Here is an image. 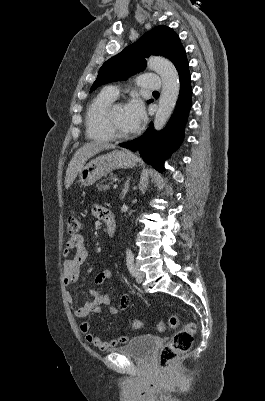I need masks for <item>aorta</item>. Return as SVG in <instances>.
Segmentation results:
<instances>
[{
  "label": "aorta",
  "mask_w": 265,
  "mask_h": 401,
  "mask_svg": "<svg viewBox=\"0 0 265 401\" xmlns=\"http://www.w3.org/2000/svg\"><path fill=\"white\" fill-rule=\"evenodd\" d=\"M148 66L155 70L162 78V90L159 98L157 112L154 118L156 130H161L165 126L180 90L179 74L171 60L162 56H150ZM126 255H132V251L127 249Z\"/></svg>",
  "instance_id": "762f6f07"
}]
</instances>
